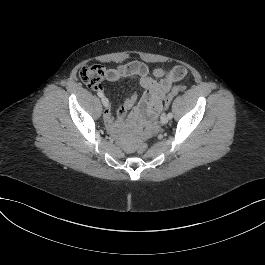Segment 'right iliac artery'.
<instances>
[{
	"label": "right iliac artery",
	"mask_w": 265,
	"mask_h": 265,
	"mask_svg": "<svg viewBox=\"0 0 265 265\" xmlns=\"http://www.w3.org/2000/svg\"><path fill=\"white\" fill-rule=\"evenodd\" d=\"M97 94H98V96H99L100 98H103V97H104V94H103L102 92H98Z\"/></svg>",
	"instance_id": "82829eb1"
}]
</instances>
